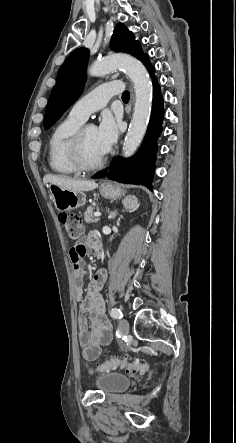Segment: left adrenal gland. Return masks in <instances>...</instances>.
Instances as JSON below:
<instances>
[{
    "label": "left adrenal gland",
    "instance_id": "left-adrenal-gland-1",
    "mask_svg": "<svg viewBox=\"0 0 236 443\" xmlns=\"http://www.w3.org/2000/svg\"><path fill=\"white\" fill-rule=\"evenodd\" d=\"M123 204L126 210H131L136 206V203H128L125 201H123ZM116 216H117L116 212H111L109 218L113 220L116 218Z\"/></svg>",
    "mask_w": 236,
    "mask_h": 443
}]
</instances>
